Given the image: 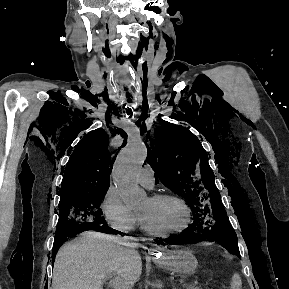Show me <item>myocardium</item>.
<instances>
[{"label":"myocardium","instance_id":"1","mask_svg":"<svg viewBox=\"0 0 289 289\" xmlns=\"http://www.w3.org/2000/svg\"><path fill=\"white\" fill-rule=\"evenodd\" d=\"M153 201H162V200H174L177 203H179L182 208L185 210L186 213V223L179 229L172 230V231H167V232H162L154 229L148 221L139 213V218L141 221V224L143 226V229L150 235L156 236V237H169L173 235L180 234L184 231H186L190 224H191V209L188 206V204L182 199L181 197L172 194V193H156L153 194L149 197Z\"/></svg>","mask_w":289,"mask_h":289}]
</instances>
